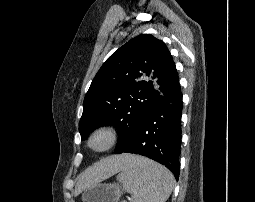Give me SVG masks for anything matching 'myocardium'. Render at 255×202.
I'll return each mask as SVG.
<instances>
[{"mask_svg":"<svg viewBox=\"0 0 255 202\" xmlns=\"http://www.w3.org/2000/svg\"><path fill=\"white\" fill-rule=\"evenodd\" d=\"M97 139H103V144L96 146L94 142ZM119 139L117 129L112 125H103L94 129L87 139V146L94 152L102 153L113 148Z\"/></svg>","mask_w":255,"mask_h":202,"instance_id":"myocardium-1","label":"myocardium"}]
</instances>
